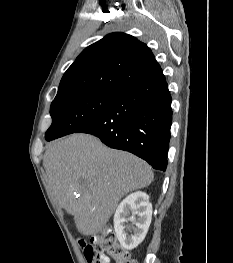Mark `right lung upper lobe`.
I'll use <instances>...</instances> for the list:
<instances>
[{"instance_id":"1","label":"right lung upper lobe","mask_w":233,"mask_h":263,"mask_svg":"<svg viewBox=\"0 0 233 263\" xmlns=\"http://www.w3.org/2000/svg\"><path fill=\"white\" fill-rule=\"evenodd\" d=\"M162 73L146 44L112 33L87 47L65 72L57 96L79 91L118 93Z\"/></svg>"}]
</instances>
